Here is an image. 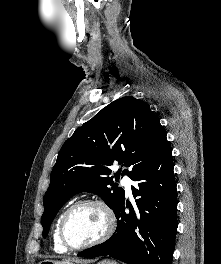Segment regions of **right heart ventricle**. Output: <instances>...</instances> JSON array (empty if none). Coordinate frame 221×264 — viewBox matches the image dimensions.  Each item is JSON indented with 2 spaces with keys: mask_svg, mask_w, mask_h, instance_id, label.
I'll return each mask as SVG.
<instances>
[{
  "mask_svg": "<svg viewBox=\"0 0 221 264\" xmlns=\"http://www.w3.org/2000/svg\"><path fill=\"white\" fill-rule=\"evenodd\" d=\"M60 219H61V216L57 219L54 230H53V247L55 251L59 253H63V252H66L68 249L63 246L59 238Z\"/></svg>",
  "mask_w": 221,
  "mask_h": 264,
  "instance_id": "e07e8e85",
  "label": "right heart ventricle"
}]
</instances>
